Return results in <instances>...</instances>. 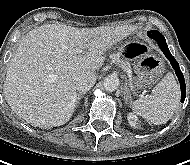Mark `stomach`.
I'll return each mask as SVG.
<instances>
[{
	"label": "stomach",
	"mask_w": 190,
	"mask_h": 165,
	"mask_svg": "<svg viewBox=\"0 0 190 165\" xmlns=\"http://www.w3.org/2000/svg\"><path fill=\"white\" fill-rule=\"evenodd\" d=\"M118 56L129 62V70L135 75L134 85L138 89L155 84L162 75V59L149 50V43L143 36H123L118 41Z\"/></svg>",
	"instance_id": "stomach-1"
}]
</instances>
